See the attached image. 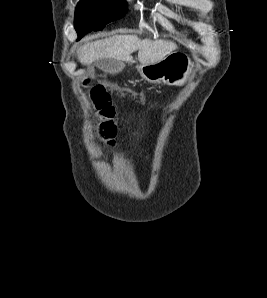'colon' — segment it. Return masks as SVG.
I'll return each instance as SVG.
<instances>
[{"label":"colon","mask_w":267,"mask_h":298,"mask_svg":"<svg viewBox=\"0 0 267 298\" xmlns=\"http://www.w3.org/2000/svg\"><path fill=\"white\" fill-rule=\"evenodd\" d=\"M91 99L94 102L97 111L101 116L108 119L111 115V103L109 94L105 88L101 85H94L90 88ZM97 128L107 146H111L113 143V131L107 126L105 122L98 124Z\"/></svg>","instance_id":"colon-1"}]
</instances>
